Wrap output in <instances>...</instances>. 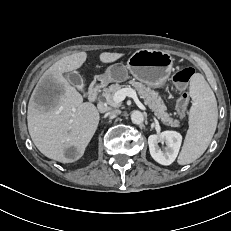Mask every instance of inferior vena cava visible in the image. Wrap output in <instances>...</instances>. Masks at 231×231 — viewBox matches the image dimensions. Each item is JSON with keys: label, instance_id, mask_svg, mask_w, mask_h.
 <instances>
[{"label": "inferior vena cava", "instance_id": "602c4592", "mask_svg": "<svg viewBox=\"0 0 231 231\" xmlns=\"http://www.w3.org/2000/svg\"><path fill=\"white\" fill-rule=\"evenodd\" d=\"M117 114H119V110H111V111L107 112V113L105 114V116H106V117H108V116H115V115H117Z\"/></svg>", "mask_w": 231, "mask_h": 231}]
</instances>
